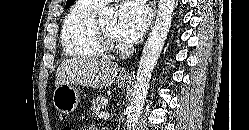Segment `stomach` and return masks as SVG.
<instances>
[{"instance_id":"1","label":"stomach","mask_w":249,"mask_h":130,"mask_svg":"<svg viewBox=\"0 0 249 130\" xmlns=\"http://www.w3.org/2000/svg\"><path fill=\"white\" fill-rule=\"evenodd\" d=\"M117 83L125 86L128 83L127 78L119 77ZM80 102V93L75 85L64 84L56 87L53 93V104L62 114L72 113Z\"/></svg>"}]
</instances>
